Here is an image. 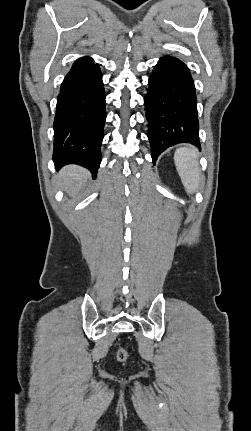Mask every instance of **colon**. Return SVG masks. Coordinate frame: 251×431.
<instances>
[{"label":"colon","mask_w":251,"mask_h":431,"mask_svg":"<svg viewBox=\"0 0 251 431\" xmlns=\"http://www.w3.org/2000/svg\"><path fill=\"white\" fill-rule=\"evenodd\" d=\"M116 355H117V359H118L120 362H124V361H126V360H127V358H128V353H127V351H126L124 348H122V347H118V348H117Z\"/></svg>","instance_id":"5ec220e1"}]
</instances>
